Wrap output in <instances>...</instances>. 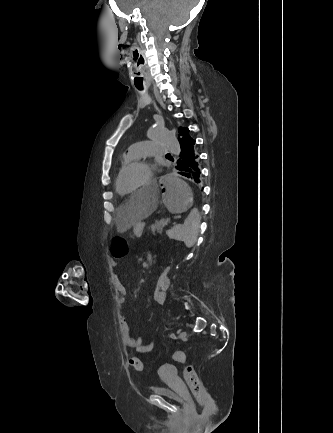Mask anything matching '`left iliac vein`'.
Wrapping results in <instances>:
<instances>
[{
	"label": "left iliac vein",
	"instance_id": "4c4485c4",
	"mask_svg": "<svg viewBox=\"0 0 333 433\" xmlns=\"http://www.w3.org/2000/svg\"><path fill=\"white\" fill-rule=\"evenodd\" d=\"M179 337H180L181 339H185V338L187 337V333L184 332V331H182V332L179 334Z\"/></svg>",
	"mask_w": 333,
	"mask_h": 433
}]
</instances>
